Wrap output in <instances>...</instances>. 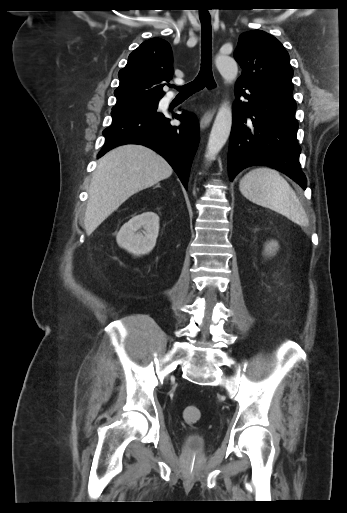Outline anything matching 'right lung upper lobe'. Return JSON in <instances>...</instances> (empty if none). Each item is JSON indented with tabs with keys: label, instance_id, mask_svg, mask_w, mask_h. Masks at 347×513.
Returning <instances> with one entry per match:
<instances>
[{
	"label": "right lung upper lobe",
	"instance_id": "obj_1",
	"mask_svg": "<svg viewBox=\"0 0 347 513\" xmlns=\"http://www.w3.org/2000/svg\"><path fill=\"white\" fill-rule=\"evenodd\" d=\"M172 50L170 44L160 38L143 42L128 57L120 70L118 88L114 94L117 105H127L148 99H161L165 82L171 80Z\"/></svg>",
	"mask_w": 347,
	"mask_h": 513
}]
</instances>
